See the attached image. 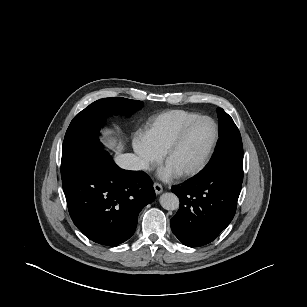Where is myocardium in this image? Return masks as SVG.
Segmentation results:
<instances>
[{"label": "myocardium", "mask_w": 307, "mask_h": 307, "mask_svg": "<svg viewBox=\"0 0 307 307\" xmlns=\"http://www.w3.org/2000/svg\"><path fill=\"white\" fill-rule=\"evenodd\" d=\"M201 121H209L213 125L214 136H213L212 142H211L208 150L206 151L203 159L201 160V162L197 166H195L194 168L189 169L187 171L178 173V176L181 177V178H190V177L197 175L209 163V161H210V159H211V157L214 153V150L217 146L218 140H219V126H218L217 122L209 116H199V117L187 122L178 131V133L175 135V137L172 139V141L169 143V145L167 146V148L165 149V151L163 153V161L166 164V162L169 159V157L171 156V154L180 145V143L183 141V139L185 138L187 133L190 131V129Z\"/></svg>", "instance_id": "obj_1"}]
</instances>
